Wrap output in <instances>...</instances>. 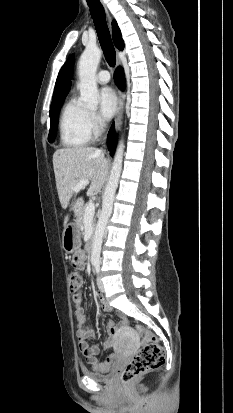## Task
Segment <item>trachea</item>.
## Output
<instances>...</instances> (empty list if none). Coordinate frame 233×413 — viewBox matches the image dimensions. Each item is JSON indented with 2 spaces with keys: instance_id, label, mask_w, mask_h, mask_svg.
Segmentation results:
<instances>
[{
  "instance_id": "1",
  "label": "trachea",
  "mask_w": 233,
  "mask_h": 413,
  "mask_svg": "<svg viewBox=\"0 0 233 413\" xmlns=\"http://www.w3.org/2000/svg\"><path fill=\"white\" fill-rule=\"evenodd\" d=\"M90 8L95 29L107 63L113 67L116 63V52L106 23L104 8L99 0H86Z\"/></svg>"
}]
</instances>
